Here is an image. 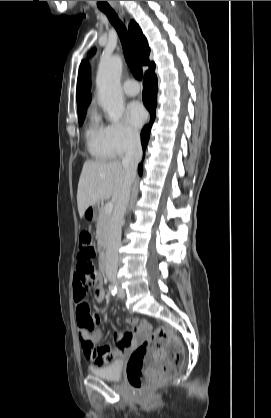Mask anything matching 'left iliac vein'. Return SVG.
<instances>
[{"label": "left iliac vein", "instance_id": "1", "mask_svg": "<svg viewBox=\"0 0 271 418\" xmlns=\"http://www.w3.org/2000/svg\"><path fill=\"white\" fill-rule=\"evenodd\" d=\"M118 297L119 298L125 297V291L120 286H118Z\"/></svg>", "mask_w": 271, "mask_h": 418}]
</instances>
